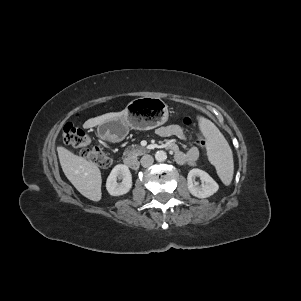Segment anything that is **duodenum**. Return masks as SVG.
I'll use <instances>...</instances> for the list:
<instances>
[{"mask_svg": "<svg viewBox=\"0 0 301 301\" xmlns=\"http://www.w3.org/2000/svg\"><path fill=\"white\" fill-rule=\"evenodd\" d=\"M112 147H113V142L111 140H106L103 145V150L105 152H110L112 150ZM124 163L130 169H136L138 165L134 159H130V158L126 159Z\"/></svg>", "mask_w": 301, "mask_h": 301, "instance_id": "obj_1", "label": "duodenum"}]
</instances>
